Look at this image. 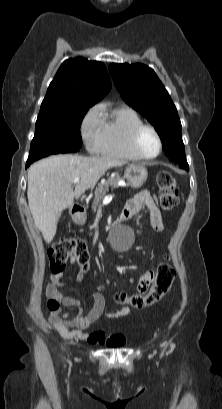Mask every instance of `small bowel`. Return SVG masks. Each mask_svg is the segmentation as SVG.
I'll return each mask as SVG.
<instances>
[{
    "label": "small bowel",
    "mask_w": 222,
    "mask_h": 409,
    "mask_svg": "<svg viewBox=\"0 0 222 409\" xmlns=\"http://www.w3.org/2000/svg\"><path fill=\"white\" fill-rule=\"evenodd\" d=\"M144 208H146L149 213L151 227L158 232L163 231L164 225L160 211L148 191H142L128 201L121 214L129 218L139 213ZM70 262L74 263L75 259L71 258ZM145 274L139 279L138 288L150 285L151 282L154 281L155 271L153 269H149ZM84 276L85 272L80 269L73 280L66 282L63 280L64 273L52 274L45 289L47 296L57 300L67 308L80 309L83 301L79 298L63 293L60 289L80 283ZM141 293L144 295L146 292L143 290ZM89 299L92 306L88 312H79L71 319H65L57 314H51L49 316L51 325L58 332L69 338L85 340L94 345H107L109 347L122 346L124 344V338L122 336H107L104 332L93 330L95 324L101 320V317L104 314L105 298L102 294L94 292L90 295ZM129 313V308L125 307L118 312L106 313V317L109 319H115L127 316ZM111 337H114V339L110 340Z\"/></svg>",
    "instance_id": "small-bowel-1"
}]
</instances>
